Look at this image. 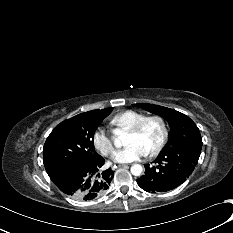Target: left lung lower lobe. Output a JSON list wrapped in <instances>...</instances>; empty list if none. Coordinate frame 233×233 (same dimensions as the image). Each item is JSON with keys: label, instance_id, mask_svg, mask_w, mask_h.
I'll list each match as a JSON object with an SVG mask.
<instances>
[{"label": "left lung lower lobe", "instance_id": "left-lung-lower-lobe-1", "mask_svg": "<svg viewBox=\"0 0 233 233\" xmlns=\"http://www.w3.org/2000/svg\"><path fill=\"white\" fill-rule=\"evenodd\" d=\"M199 156L187 152H161L155 165H145L137 183L147 192H166L184 183L198 163Z\"/></svg>", "mask_w": 233, "mask_h": 233}]
</instances>
